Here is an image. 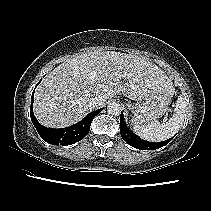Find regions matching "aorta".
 Instances as JSON below:
<instances>
[{"label": "aorta", "instance_id": "762f6f07", "mask_svg": "<svg viewBox=\"0 0 211 211\" xmlns=\"http://www.w3.org/2000/svg\"><path fill=\"white\" fill-rule=\"evenodd\" d=\"M107 112L110 114V115H113V116H118L120 115L121 113V106L119 103L117 102H111L110 104H108L107 106Z\"/></svg>", "mask_w": 211, "mask_h": 211}]
</instances>
